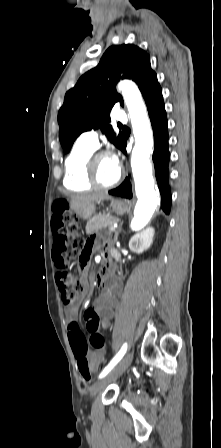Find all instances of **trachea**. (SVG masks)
<instances>
[{"label":"trachea","mask_w":221,"mask_h":448,"mask_svg":"<svg viewBox=\"0 0 221 448\" xmlns=\"http://www.w3.org/2000/svg\"><path fill=\"white\" fill-rule=\"evenodd\" d=\"M119 127H122V124H118Z\"/></svg>","instance_id":"obj_1"}]
</instances>
